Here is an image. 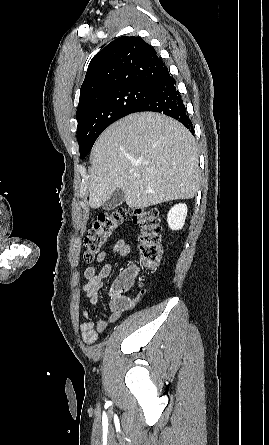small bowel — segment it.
I'll use <instances>...</instances> for the list:
<instances>
[{
    "mask_svg": "<svg viewBox=\"0 0 269 445\" xmlns=\"http://www.w3.org/2000/svg\"><path fill=\"white\" fill-rule=\"evenodd\" d=\"M113 251L121 257H128L131 255V246L126 240L121 239L114 244ZM106 259V252H101L96 258L98 265L85 268L83 273L87 282L82 286V291L88 303L82 312L84 321L80 324V331L83 341L88 345L94 344L98 334L104 332L109 324L116 322L124 311L132 309L136 304L134 299L123 294H117L112 290L113 294L109 302V311L103 313L97 320L91 317L90 308L98 304L99 291L104 284V280L111 273L112 267L106 262ZM136 274V267L131 266L119 275L117 279L124 275H130L134 281Z\"/></svg>",
    "mask_w": 269,
    "mask_h": 445,
    "instance_id": "obj_1",
    "label": "small bowel"
}]
</instances>
